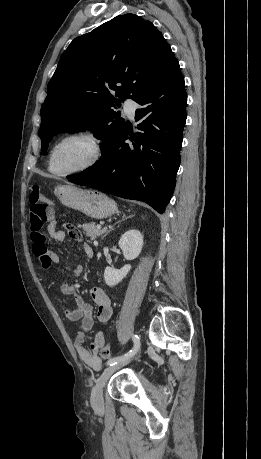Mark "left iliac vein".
<instances>
[{"mask_svg":"<svg viewBox=\"0 0 261 459\" xmlns=\"http://www.w3.org/2000/svg\"><path fill=\"white\" fill-rule=\"evenodd\" d=\"M135 357V354L129 357H126L125 359L117 362L116 364L109 366L107 369L104 370V372L101 374V376L98 378L96 385L94 386L91 394V404L94 409H101L104 404L103 400V388L109 378L116 372L118 371L121 367L125 366L128 364L133 358Z\"/></svg>","mask_w":261,"mask_h":459,"instance_id":"obj_1","label":"left iliac vein"}]
</instances>
